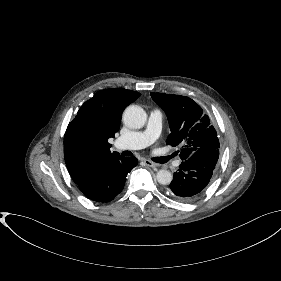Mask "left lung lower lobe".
Instances as JSON below:
<instances>
[{"mask_svg":"<svg viewBox=\"0 0 281 281\" xmlns=\"http://www.w3.org/2000/svg\"><path fill=\"white\" fill-rule=\"evenodd\" d=\"M218 158L219 150H199L183 160L170 183L173 195L182 201H191L198 197L210 182Z\"/></svg>","mask_w":281,"mask_h":281,"instance_id":"left-lung-lower-lobe-1","label":"left lung lower lobe"}]
</instances>
